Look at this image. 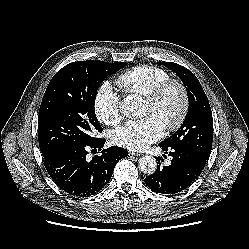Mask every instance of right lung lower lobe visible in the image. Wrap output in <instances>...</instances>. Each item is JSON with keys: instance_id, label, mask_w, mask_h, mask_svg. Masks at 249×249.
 I'll return each mask as SVG.
<instances>
[{"instance_id": "98d812e1", "label": "right lung lower lobe", "mask_w": 249, "mask_h": 249, "mask_svg": "<svg viewBox=\"0 0 249 249\" xmlns=\"http://www.w3.org/2000/svg\"><path fill=\"white\" fill-rule=\"evenodd\" d=\"M104 143L105 139L96 138L86 145L67 148L44 157L45 168L66 193L77 197L94 195L110 181L117 162L128 156L127 151L121 147L101 149ZM90 148L92 151H101L91 161L86 158Z\"/></svg>"}]
</instances>
